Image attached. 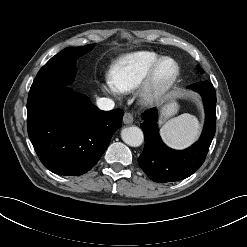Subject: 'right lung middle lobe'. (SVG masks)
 Returning <instances> with one entry per match:
<instances>
[{
	"label": "right lung middle lobe",
	"mask_w": 247,
	"mask_h": 247,
	"mask_svg": "<svg viewBox=\"0 0 247 247\" xmlns=\"http://www.w3.org/2000/svg\"><path fill=\"white\" fill-rule=\"evenodd\" d=\"M93 45L65 48L52 57L38 72L32 86L46 88L50 85L67 86L74 79L76 59L89 52Z\"/></svg>",
	"instance_id": "dd1d6c3e"
}]
</instances>
